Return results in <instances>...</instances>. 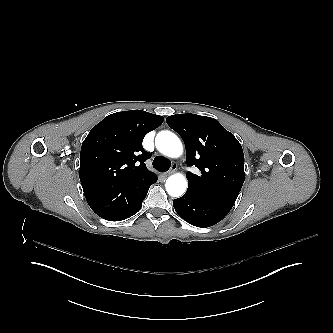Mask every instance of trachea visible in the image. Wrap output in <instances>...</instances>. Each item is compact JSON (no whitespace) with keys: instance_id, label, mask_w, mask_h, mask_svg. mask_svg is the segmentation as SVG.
I'll use <instances>...</instances> for the list:
<instances>
[{"instance_id":"trachea-1","label":"trachea","mask_w":333,"mask_h":333,"mask_svg":"<svg viewBox=\"0 0 333 333\" xmlns=\"http://www.w3.org/2000/svg\"><path fill=\"white\" fill-rule=\"evenodd\" d=\"M153 167L160 171V172H166L169 170L171 166L170 160L167 158H164L163 156H157L152 163Z\"/></svg>"}]
</instances>
